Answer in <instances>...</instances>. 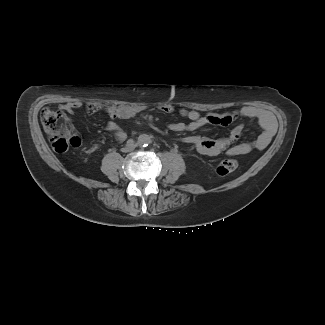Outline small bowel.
Segmentation results:
<instances>
[{"label": "small bowel", "instance_id": "obj_1", "mask_svg": "<svg viewBox=\"0 0 325 325\" xmlns=\"http://www.w3.org/2000/svg\"><path fill=\"white\" fill-rule=\"evenodd\" d=\"M80 102L59 104L58 112L64 113L65 121L73 120V111L80 108ZM98 110L95 105H89L87 111L94 113ZM158 110L163 114L177 113L189 122H174L167 125V129L175 133L192 132L206 125L230 126L239 119L256 120L262 129V132L251 142H240L244 125L236 124L228 135L220 138H206L198 135L184 136L180 140L186 144L192 145L198 152L217 155L225 153L227 155H242L252 150L261 151L270 143L275 133V121L272 114L262 108L254 106H242L239 110L227 114H202L196 110L185 108L176 109L172 104L164 103L158 106ZM68 111V112H67ZM106 113L112 120L106 123V130L112 134L117 142H123L127 134L120 128L114 119H129L137 116L143 111L142 107L137 106H108L105 108ZM79 143L75 146H79Z\"/></svg>", "mask_w": 325, "mask_h": 325}]
</instances>
